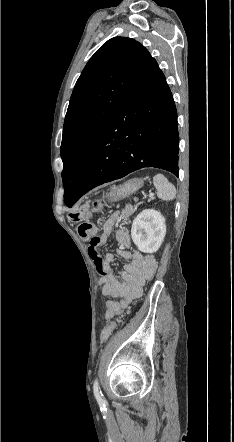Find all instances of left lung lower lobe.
Here are the masks:
<instances>
[{"instance_id":"obj_1","label":"left lung lower lobe","mask_w":234,"mask_h":442,"mask_svg":"<svg viewBox=\"0 0 234 442\" xmlns=\"http://www.w3.org/2000/svg\"><path fill=\"white\" fill-rule=\"evenodd\" d=\"M177 111L165 76L151 59L106 123L90 153L71 207L103 183L144 167L178 176Z\"/></svg>"}]
</instances>
